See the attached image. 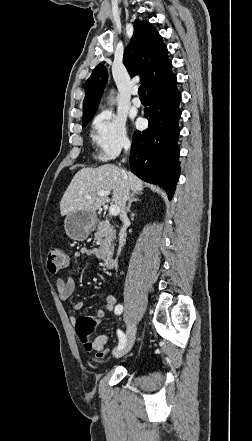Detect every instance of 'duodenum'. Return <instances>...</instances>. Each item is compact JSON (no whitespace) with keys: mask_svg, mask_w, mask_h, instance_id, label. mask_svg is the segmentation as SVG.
<instances>
[{"mask_svg":"<svg viewBox=\"0 0 252 441\" xmlns=\"http://www.w3.org/2000/svg\"><path fill=\"white\" fill-rule=\"evenodd\" d=\"M103 267L106 270L112 269L114 266V259L112 254H104L102 257Z\"/></svg>","mask_w":252,"mask_h":441,"instance_id":"1","label":"duodenum"}]
</instances>
